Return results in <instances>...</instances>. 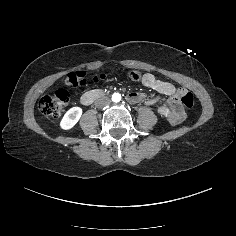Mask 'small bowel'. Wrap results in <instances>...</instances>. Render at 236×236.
I'll return each mask as SVG.
<instances>
[{
    "mask_svg": "<svg viewBox=\"0 0 236 236\" xmlns=\"http://www.w3.org/2000/svg\"><path fill=\"white\" fill-rule=\"evenodd\" d=\"M144 84L148 87H155V82L152 81L150 77L144 79Z\"/></svg>",
    "mask_w": 236,
    "mask_h": 236,
    "instance_id": "c3829d8e",
    "label": "small bowel"
}]
</instances>
